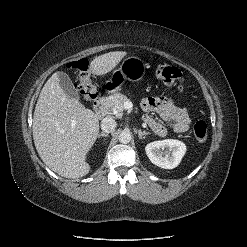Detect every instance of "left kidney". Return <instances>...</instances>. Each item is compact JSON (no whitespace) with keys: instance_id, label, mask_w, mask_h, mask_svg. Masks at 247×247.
<instances>
[{"instance_id":"obj_1","label":"left kidney","mask_w":247,"mask_h":247,"mask_svg":"<svg viewBox=\"0 0 247 247\" xmlns=\"http://www.w3.org/2000/svg\"><path fill=\"white\" fill-rule=\"evenodd\" d=\"M145 151L153 164L164 169H173L185 155L186 145L179 140L165 139L147 144Z\"/></svg>"}]
</instances>
